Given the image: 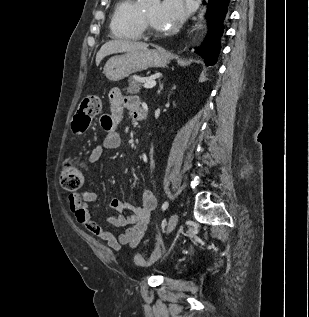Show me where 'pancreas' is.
<instances>
[{"instance_id": "obj_1", "label": "pancreas", "mask_w": 309, "mask_h": 317, "mask_svg": "<svg viewBox=\"0 0 309 317\" xmlns=\"http://www.w3.org/2000/svg\"><path fill=\"white\" fill-rule=\"evenodd\" d=\"M140 77L138 76H131L128 80L129 84L128 87H126L124 90L127 91V93L131 94H137L140 92L142 87V81H140Z\"/></svg>"}]
</instances>
